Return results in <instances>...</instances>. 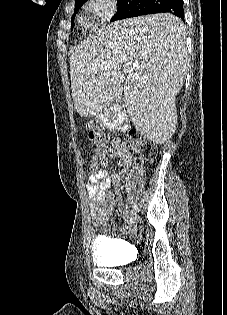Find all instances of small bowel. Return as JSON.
Returning <instances> with one entry per match:
<instances>
[{
	"label": "small bowel",
	"mask_w": 227,
	"mask_h": 315,
	"mask_svg": "<svg viewBox=\"0 0 227 315\" xmlns=\"http://www.w3.org/2000/svg\"><path fill=\"white\" fill-rule=\"evenodd\" d=\"M114 156L117 158L121 168H128L132 164V157L128 150L120 144L115 145ZM121 172H115L111 176L108 173V166L100 169L87 178V192L90 199L88 203L89 215L95 224H102L107 220L113 211L112 195L107 194L106 190L112 183L120 180ZM115 195L119 199V209L122 214L126 213V206L121 199L120 191L116 190ZM130 231H134L131 227Z\"/></svg>",
	"instance_id": "1"
}]
</instances>
